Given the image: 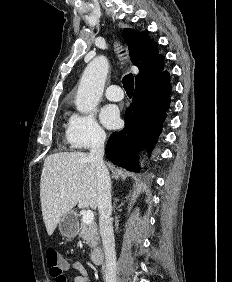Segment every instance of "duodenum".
I'll use <instances>...</instances> for the list:
<instances>
[{
  "instance_id": "1",
  "label": "duodenum",
  "mask_w": 232,
  "mask_h": 282,
  "mask_svg": "<svg viewBox=\"0 0 232 282\" xmlns=\"http://www.w3.org/2000/svg\"><path fill=\"white\" fill-rule=\"evenodd\" d=\"M91 260L94 264L100 265L103 263L104 260V252L102 248L95 247L91 252Z\"/></svg>"
}]
</instances>
